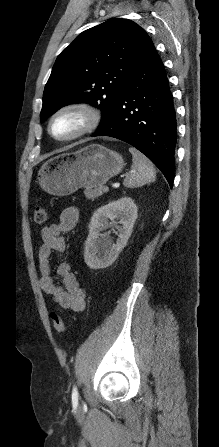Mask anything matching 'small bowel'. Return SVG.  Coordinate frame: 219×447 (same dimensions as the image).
<instances>
[{"instance_id":"obj_1","label":"small bowel","mask_w":219,"mask_h":447,"mask_svg":"<svg viewBox=\"0 0 219 447\" xmlns=\"http://www.w3.org/2000/svg\"><path fill=\"white\" fill-rule=\"evenodd\" d=\"M78 218L79 211L76 207L70 206L63 209L57 222L42 228V244L38 253L41 289L51 295L60 307L73 312L84 310L85 290L80 286L66 262L59 263L56 268V275L61 282L59 284L53 273L51 257L54 252L63 253L66 250L63 234L75 228Z\"/></svg>"}]
</instances>
